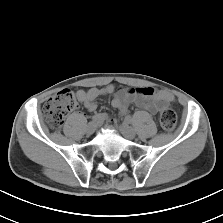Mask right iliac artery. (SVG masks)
I'll return each mask as SVG.
<instances>
[{
	"instance_id": "obj_1",
	"label": "right iliac artery",
	"mask_w": 223,
	"mask_h": 223,
	"mask_svg": "<svg viewBox=\"0 0 223 223\" xmlns=\"http://www.w3.org/2000/svg\"><path fill=\"white\" fill-rule=\"evenodd\" d=\"M92 122H98V121H101V117L99 115H95L92 117Z\"/></svg>"
}]
</instances>
